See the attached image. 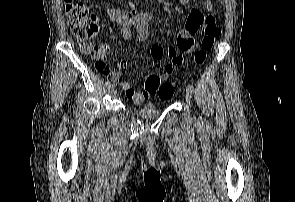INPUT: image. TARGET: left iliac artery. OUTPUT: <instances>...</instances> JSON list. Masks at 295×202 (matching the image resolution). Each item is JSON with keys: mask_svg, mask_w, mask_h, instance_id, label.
Wrapping results in <instances>:
<instances>
[{"mask_svg": "<svg viewBox=\"0 0 295 202\" xmlns=\"http://www.w3.org/2000/svg\"><path fill=\"white\" fill-rule=\"evenodd\" d=\"M187 90H189L191 93L194 92V87L191 84L187 85Z\"/></svg>", "mask_w": 295, "mask_h": 202, "instance_id": "left-iliac-artery-1", "label": "left iliac artery"}]
</instances>
